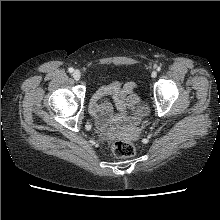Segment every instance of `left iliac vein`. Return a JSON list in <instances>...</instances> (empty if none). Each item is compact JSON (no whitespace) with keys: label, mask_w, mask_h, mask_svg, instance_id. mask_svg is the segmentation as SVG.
Instances as JSON below:
<instances>
[{"label":"left iliac vein","mask_w":220,"mask_h":220,"mask_svg":"<svg viewBox=\"0 0 220 220\" xmlns=\"http://www.w3.org/2000/svg\"><path fill=\"white\" fill-rule=\"evenodd\" d=\"M152 78H155L157 76V72L156 71H153L152 74H151Z\"/></svg>","instance_id":"obj_1"}]
</instances>
